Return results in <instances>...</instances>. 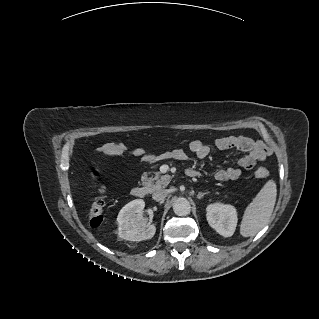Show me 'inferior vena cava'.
<instances>
[{"label":"inferior vena cava","mask_w":319,"mask_h":319,"mask_svg":"<svg viewBox=\"0 0 319 319\" xmlns=\"http://www.w3.org/2000/svg\"><path fill=\"white\" fill-rule=\"evenodd\" d=\"M168 192L164 189H159L155 191L152 195V198L156 201H161L167 196Z\"/></svg>","instance_id":"obj_1"}]
</instances>
